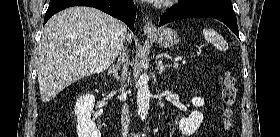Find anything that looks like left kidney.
<instances>
[{
  "label": "left kidney",
  "mask_w": 280,
  "mask_h": 137,
  "mask_svg": "<svg viewBox=\"0 0 280 137\" xmlns=\"http://www.w3.org/2000/svg\"><path fill=\"white\" fill-rule=\"evenodd\" d=\"M193 106L201 107L204 105V100L201 97H193L191 100ZM204 116L199 111H193L188 118L184 117L178 122L179 130L185 136H190L200 127Z\"/></svg>",
  "instance_id": "1"
}]
</instances>
